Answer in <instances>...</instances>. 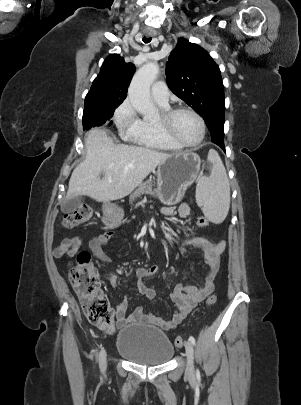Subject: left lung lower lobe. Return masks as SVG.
I'll use <instances>...</instances> for the list:
<instances>
[{
  "instance_id": "left-lung-lower-lobe-1",
  "label": "left lung lower lobe",
  "mask_w": 301,
  "mask_h": 405,
  "mask_svg": "<svg viewBox=\"0 0 301 405\" xmlns=\"http://www.w3.org/2000/svg\"><path fill=\"white\" fill-rule=\"evenodd\" d=\"M213 143L217 144L218 146H220L223 150H225L224 148V141L222 139H212Z\"/></svg>"
}]
</instances>
